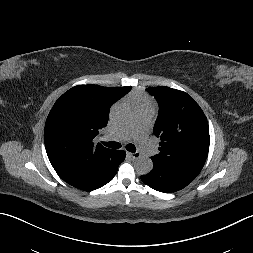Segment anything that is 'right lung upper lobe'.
<instances>
[{
    "mask_svg": "<svg viewBox=\"0 0 253 253\" xmlns=\"http://www.w3.org/2000/svg\"><path fill=\"white\" fill-rule=\"evenodd\" d=\"M131 87L78 85L52 107L44 128L48 158L58 175L81 178L92 173L113 151L94 144L107 125L110 107Z\"/></svg>",
    "mask_w": 253,
    "mask_h": 253,
    "instance_id": "right-lung-upper-lobe-1",
    "label": "right lung upper lobe"
}]
</instances>
